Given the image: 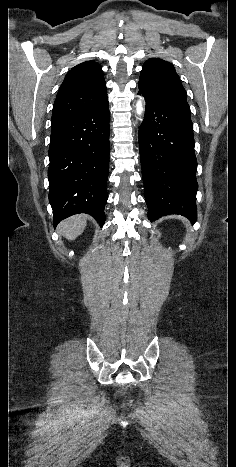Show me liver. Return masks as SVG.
Listing matches in <instances>:
<instances>
[{"label":"liver","instance_id":"1","mask_svg":"<svg viewBox=\"0 0 236 467\" xmlns=\"http://www.w3.org/2000/svg\"><path fill=\"white\" fill-rule=\"evenodd\" d=\"M85 227L86 217L84 215H74L59 224V231L67 240H75L82 234Z\"/></svg>","mask_w":236,"mask_h":467}]
</instances>
